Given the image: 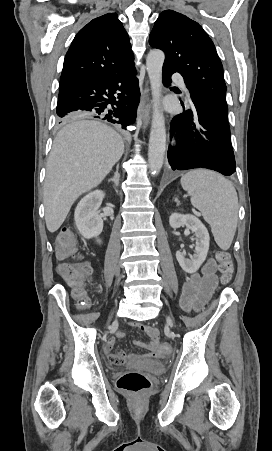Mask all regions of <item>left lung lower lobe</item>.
<instances>
[{"instance_id": "obj_1", "label": "left lung lower lobe", "mask_w": 272, "mask_h": 451, "mask_svg": "<svg viewBox=\"0 0 272 451\" xmlns=\"http://www.w3.org/2000/svg\"><path fill=\"white\" fill-rule=\"evenodd\" d=\"M174 71L163 67V83L169 86ZM193 109L175 116L171 136L179 143L169 147L168 161L173 170L207 168L229 176L236 171L228 116L192 98Z\"/></svg>"}]
</instances>
